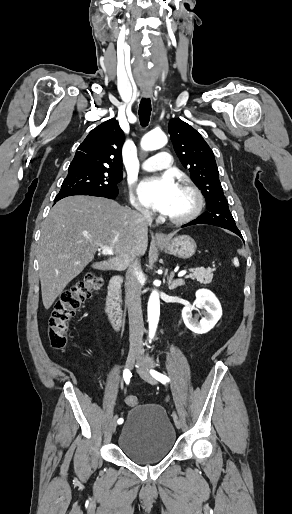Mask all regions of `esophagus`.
<instances>
[{"label": "esophagus", "mask_w": 292, "mask_h": 514, "mask_svg": "<svg viewBox=\"0 0 292 514\" xmlns=\"http://www.w3.org/2000/svg\"><path fill=\"white\" fill-rule=\"evenodd\" d=\"M141 92H142L143 97H145V98H151L152 94H153L152 89L141 90ZM154 240H155V242L163 243L165 241V236L162 232H156V234L154 236Z\"/></svg>", "instance_id": "34e87169"}]
</instances>
